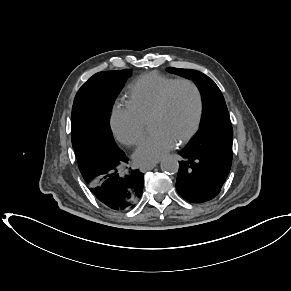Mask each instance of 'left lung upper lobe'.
<instances>
[{
    "instance_id": "5c2ea615",
    "label": "left lung upper lobe",
    "mask_w": 291,
    "mask_h": 291,
    "mask_svg": "<svg viewBox=\"0 0 291 291\" xmlns=\"http://www.w3.org/2000/svg\"><path fill=\"white\" fill-rule=\"evenodd\" d=\"M167 70L193 80L202 97L200 127L185 148L232 159L233 130L224 97L218 86L211 78L196 70L173 67H168Z\"/></svg>"
}]
</instances>
